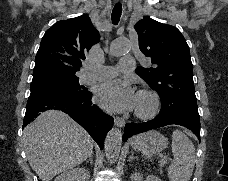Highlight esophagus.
<instances>
[{"label": "esophagus", "mask_w": 228, "mask_h": 181, "mask_svg": "<svg viewBox=\"0 0 228 181\" xmlns=\"http://www.w3.org/2000/svg\"><path fill=\"white\" fill-rule=\"evenodd\" d=\"M114 122L116 126H119L120 128H122L125 125V121L123 120V118H120V116H116L114 118Z\"/></svg>", "instance_id": "34e87169"}]
</instances>
